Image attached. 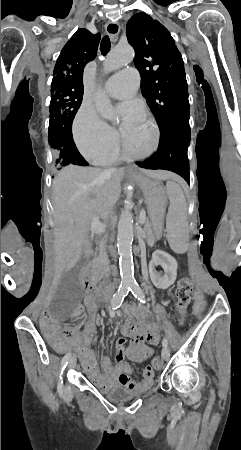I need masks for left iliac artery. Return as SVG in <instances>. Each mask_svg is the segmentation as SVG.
I'll use <instances>...</instances> for the list:
<instances>
[{
  "label": "left iliac artery",
  "instance_id": "1",
  "mask_svg": "<svg viewBox=\"0 0 241 450\" xmlns=\"http://www.w3.org/2000/svg\"><path fill=\"white\" fill-rule=\"evenodd\" d=\"M130 291L132 292L135 298H137L140 302L145 303V296L139 285H132L130 287ZM162 345L164 347L168 345V341L166 338H163Z\"/></svg>",
  "mask_w": 241,
  "mask_h": 450
}]
</instances>
